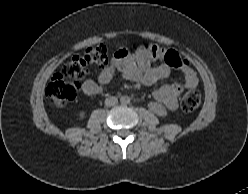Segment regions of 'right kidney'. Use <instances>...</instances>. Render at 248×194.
Segmentation results:
<instances>
[{"label":"right kidney","mask_w":248,"mask_h":194,"mask_svg":"<svg viewBox=\"0 0 248 194\" xmlns=\"http://www.w3.org/2000/svg\"><path fill=\"white\" fill-rule=\"evenodd\" d=\"M78 116H79V119H83L85 117V112L84 111L80 112Z\"/></svg>","instance_id":"ca27d5eb"}]
</instances>
